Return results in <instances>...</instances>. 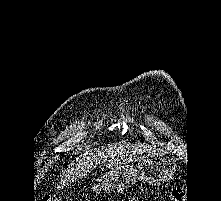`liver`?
<instances>
[{
    "label": "liver",
    "instance_id": "liver-1",
    "mask_svg": "<svg viewBox=\"0 0 221 201\" xmlns=\"http://www.w3.org/2000/svg\"><path fill=\"white\" fill-rule=\"evenodd\" d=\"M150 154H154L153 148L126 142L108 144L90 150L67 166L59 187L63 188L83 178L94 170L98 162L108 168L131 163Z\"/></svg>",
    "mask_w": 221,
    "mask_h": 201
}]
</instances>
